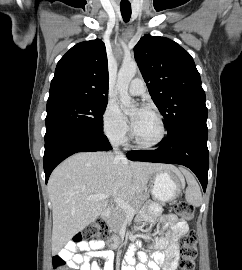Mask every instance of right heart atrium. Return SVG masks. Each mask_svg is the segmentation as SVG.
I'll list each match as a JSON object with an SVG mask.
<instances>
[{
    "label": "right heart atrium",
    "instance_id": "right-heart-atrium-1",
    "mask_svg": "<svg viewBox=\"0 0 242 270\" xmlns=\"http://www.w3.org/2000/svg\"><path fill=\"white\" fill-rule=\"evenodd\" d=\"M102 128L106 137L114 144H124L130 136L127 120L114 103H108L104 110Z\"/></svg>",
    "mask_w": 242,
    "mask_h": 270
}]
</instances>
